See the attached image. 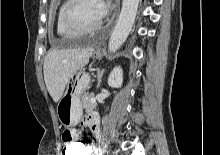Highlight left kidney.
Here are the masks:
<instances>
[{
  "instance_id": "left-kidney-1",
  "label": "left kidney",
  "mask_w": 220,
  "mask_h": 155,
  "mask_svg": "<svg viewBox=\"0 0 220 155\" xmlns=\"http://www.w3.org/2000/svg\"><path fill=\"white\" fill-rule=\"evenodd\" d=\"M123 82V71L120 66L115 67L108 77V85L113 88L121 87Z\"/></svg>"
}]
</instances>
